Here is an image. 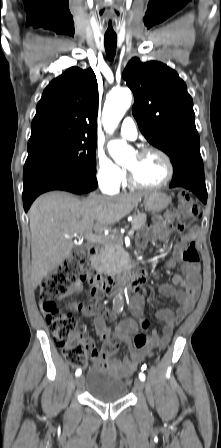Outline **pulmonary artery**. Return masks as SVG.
Wrapping results in <instances>:
<instances>
[{"mask_svg":"<svg viewBox=\"0 0 221 448\" xmlns=\"http://www.w3.org/2000/svg\"><path fill=\"white\" fill-rule=\"evenodd\" d=\"M120 135L129 140H135L138 136V130L134 119L130 116L125 117L120 129Z\"/></svg>","mask_w":221,"mask_h":448,"instance_id":"obj_1","label":"pulmonary artery"}]
</instances>
